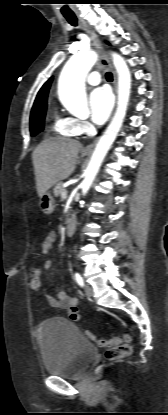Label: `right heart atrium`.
Instances as JSON below:
<instances>
[{
    "mask_svg": "<svg viewBox=\"0 0 168 415\" xmlns=\"http://www.w3.org/2000/svg\"><path fill=\"white\" fill-rule=\"evenodd\" d=\"M76 127H77L79 134L88 133L91 129L90 124L84 120H77Z\"/></svg>",
    "mask_w": 168,
    "mask_h": 415,
    "instance_id": "obj_1",
    "label": "right heart atrium"
}]
</instances>
